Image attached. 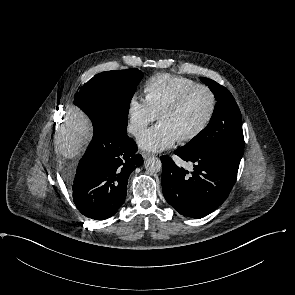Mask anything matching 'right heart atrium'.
<instances>
[{
  "instance_id": "1",
  "label": "right heart atrium",
  "mask_w": 295,
  "mask_h": 295,
  "mask_svg": "<svg viewBox=\"0 0 295 295\" xmlns=\"http://www.w3.org/2000/svg\"><path fill=\"white\" fill-rule=\"evenodd\" d=\"M128 130L131 134L140 135L157 119V114L145 98L132 96L128 101Z\"/></svg>"
}]
</instances>
